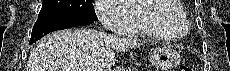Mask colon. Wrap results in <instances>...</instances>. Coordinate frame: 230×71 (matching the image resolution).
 <instances>
[{
	"label": "colon",
	"instance_id": "colon-1",
	"mask_svg": "<svg viewBox=\"0 0 230 71\" xmlns=\"http://www.w3.org/2000/svg\"><path fill=\"white\" fill-rule=\"evenodd\" d=\"M179 71H193V68L188 65H181Z\"/></svg>",
	"mask_w": 230,
	"mask_h": 71
}]
</instances>
